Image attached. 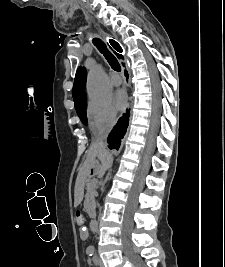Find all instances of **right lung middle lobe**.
<instances>
[{
	"label": "right lung middle lobe",
	"mask_w": 225,
	"mask_h": 267,
	"mask_svg": "<svg viewBox=\"0 0 225 267\" xmlns=\"http://www.w3.org/2000/svg\"><path fill=\"white\" fill-rule=\"evenodd\" d=\"M86 108H87L86 100H84L79 106L76 107L77 114L80 117V119L84 125L88 124L87 115H86Z\"/></svg>",
	"instance_id": "dd1d6c3e"
}]
</instances>
